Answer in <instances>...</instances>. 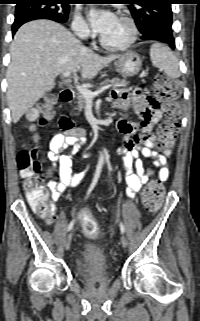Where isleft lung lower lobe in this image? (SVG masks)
I'll use <instances>...</instances> for the list:
<instances>
[{
    "label": "left lung lower lobe",
    "mask_w": 200,
    "mask_h": 321,
    "mask_svg": "<svg viewBox=\"0 0 200 321\" xmlns=\"http://www.w3.org/2000/svg\"><path fill=\"white\" fill-rule=\"evenodd\" d=\"M142 39L146 41H154L165 44L169 46L171 49L175 48V42L172 32L154 31L150 34H142Z\"/></svg>",
    "instance_id": "left-lung-lower-lobe-1"
}]
</instances>
